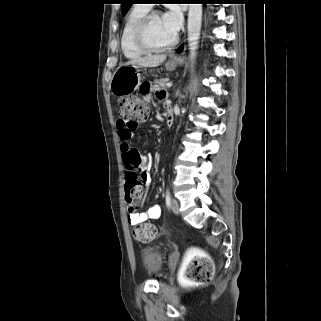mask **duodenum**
I'll return each instance as SVG.
<instances>
[{
  "instance_id": "410a0bca",
  "label": "duodenum",
  "mask_w": 321,
  "mask_h": 321,
  "mask_svg": "<svg viewBox=\"0 0 321 321\" xmlns=\"http://www.w3.org/2000/svg\"><path fill=\"white\" fill-rule=\"evenodd\" d=\"M166 121H167V125L171 126L173 123V113H172V109L171 111H167V116H166Z\"/></svg>"
}]
</instances>
